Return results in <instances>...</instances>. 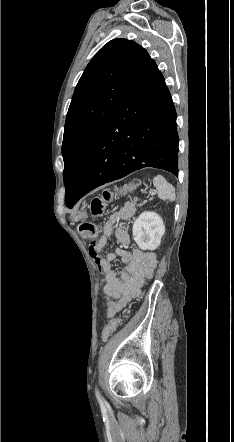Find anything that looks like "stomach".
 Returning <instances> with one entry per match:
<instances>
[{
  "label": "stomach",
  "instance_id": "obj_1",
  "mask_svg": "<svg viewBox=\"0 0 234 442\" xmlns=\"http://www.w3.org/2000/svg\"><path fill=\"white\" fill-rule=\"evenodd\" d=\"M139 184L140 183H129V184H125L122 188H120V189H116L115 190V193H113V195L116 197V196H119V195H125V194H127L128 192H132L133 190H135L138 186H139ZM87 217V212L86 211H80V212H78L77 214H75L73 217H72V219L73 220H75V221H77V220H81V219H84V218H86Z\"/></svg>",
  "mask_w": 234,
  "mask_h": 442
}]
</instances>
